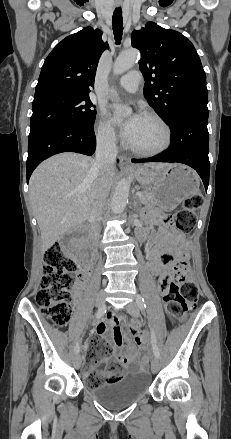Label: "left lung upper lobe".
<instances>
[{
    "mask_svg": "<svg viewBox=\"0 0 231 439\" xmlns=\"http://www.w3.org/2000/svg\"><path fill=\"white\" fill-rule=\"evenodd\" d=\"M132 46L141 52L144 96L168 124L187 108H207L206 75L193 44L181 33L153 22L134 30Z\"/></svg>",
    "mask_w": 231,
    "mask_h": 439,
    "instance_id": "1",
    "label": "left lung upper lobe"
}]
</instances>
